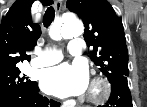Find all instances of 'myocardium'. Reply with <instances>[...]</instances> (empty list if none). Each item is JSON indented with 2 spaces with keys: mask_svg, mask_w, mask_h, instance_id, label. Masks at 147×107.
Returning <instances> with one entry per match:
<instances>
[{
  "mask_svg": "<svg viewBox=\"0 0 147 107\" xmlns=\"http://www.w3.org/2000/svg\"><path fill=\"white\" fill-rule=\"evenodd\" d=\"M109 94V85L105 80L96 79L92 82L89 92L91 102L98 103L103 101Z\"/></svg>",
  "mask_w": 147,
  "mask_h": 107,
  "instance_id": "f54148a6",
  "label": "myocardium"
}]
</instances>
